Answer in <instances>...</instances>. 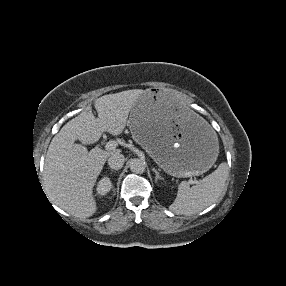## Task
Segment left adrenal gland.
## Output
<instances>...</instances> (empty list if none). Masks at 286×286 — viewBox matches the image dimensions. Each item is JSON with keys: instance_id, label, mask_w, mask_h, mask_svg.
Instances as JSON below:
<instances>
[{"instance_id": "1", "label": "left adrenal gland", "mask_w": 286, "mask_h": 286, "mask_svg": "<svg viewBox=\"0 0 286 286\" xmlns=\"http://www.w3.org/2000/svg\"><path fill=\"white\" fill-rule=\"evenodd\" d=\"M153 171L156 174L155 182H157L158 180H163V178L159 175V172L155 168H153Z\"/></svg>"}]
</instances>
